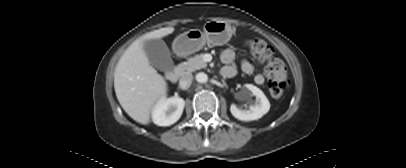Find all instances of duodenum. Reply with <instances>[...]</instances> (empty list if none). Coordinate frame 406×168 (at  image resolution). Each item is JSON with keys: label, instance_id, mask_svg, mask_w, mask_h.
Listing matches in <instances>:
<instances>
[{"label": "duodenum", "instance_id": "duodenum-1", "mask_svg": "<svg viewBox=\"0 0 406 168\" xmlns=\"http://www.w3.org/2000/svg\"><path fill=\"white\" fill-rule=\"evenodd\" d=\"M179 75H180V70L177 68L169 69L165 73L166 79L173 83L178 81Z\"/></svg>", "mask_w": 406, "mask_h": 168}]
</instances>
